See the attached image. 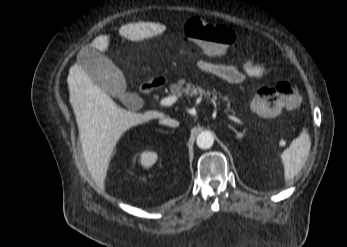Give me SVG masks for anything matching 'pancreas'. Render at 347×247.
<instances>
[{
    "label": "pancreas",
    "mask_w": 347,
    "mask_h": 247,
    "mask_svg": "<svg viewBox=\"0 0 347 247\" xmlns=\"http://www.w3.org/2000/svg\"><path fill=\"white\" fill-rule=\"evenodd\" d=\"M168 87L170 93L178 97H182L183 95L189 97H196L197 95H200V97H205L209 99L212 95L213 100H216L217 98V93H215V91L211 93L209 90H204L198 85L192 84L191 82H186V80L184 79L178 80L177 83H171ZM219 96L222 99L224 105L226 106L227 111L235 115L236 112L231 108L230 100L228 99V97H222L221 95ZM218 104H220V102H218Z\"/></svg>",
    "instance_id": "cf45deb5"
}]
</instances>
